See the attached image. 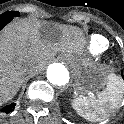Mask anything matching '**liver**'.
<instances>
[{"label":"liver","mask_w":124,"mask_h":124,"mask_svg":"<svg viewBox=\"0 0 124 124\" xmlns=\"http://www.w3.org/2000/svg\"><path fill=\"white\" fill-rule=\"evenodd\" d=\"M84 42L82 32L74 26L53 29L23 21L6 29L0 38V105L12 99L25 76L33 73L31 62L41 69L57 52L79 54Z\"/></svg>","instance_id":"liver-1"}]
</instances>
